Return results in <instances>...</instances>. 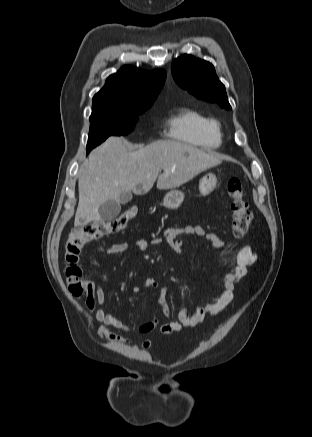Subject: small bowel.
Returning a JSON list of instances; mask_svg holds the SVG:
<instances>
[{"label":"small bowel","mask_w":312,"mask_h":437,"mask_svg":"<svg viewBox=\"0 0 312 437\" xmlns=\"http://www.w3.org/2000/svg\"><path fill=\"white\" fill-rule=\"evenodd\" d=\"M197 236L204 238L208 244L215 249L225 248L224 241L214 233L207 232L201 226H175L169 227L164 232V238L176 253L183 251V237ZM154 242H159L154 239ZM132 246L138 251H144L148 247L145 239L138 238L131 242ZM129 248L128 242L114 243L106 250L107 255H118L124 253ZM257 254L250 245H244L235 256V266L227 272L221 279V291L213 297L207 304L200 306L193 314H189L186 308H181L177 313V320L160 324L156 313L151 319L133 328L126 324L120 317L107 313L104 309L106 295L104 290L93 282H88L89 295L85 302L86 310L95 313V319L101 323L97 329V335L101 339H107L115 343L129 344L130 339L112 332L109 328L121 330L125 333L137 331L142 334H149L157 330L161 335H168L181 331L183 328H192L200 325L207 317L216 316L224 310L233 300L234 287L236 282L243 278L249 268L256 262ZM146 288L158 287V282L152 278H146L143 282ZM134 293L140 291L139 286L132 288ZM166 290L161 289L157 296L156 303L166 317H170V308L165 295ZM153 340L147 339L142 343L143 347H150Z\"/></svg>","instance_id":"obj_1"}]
</instances>
